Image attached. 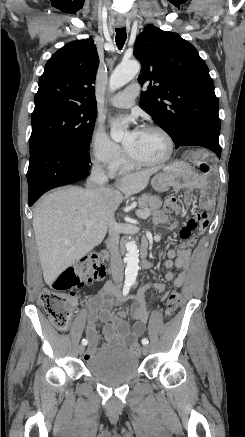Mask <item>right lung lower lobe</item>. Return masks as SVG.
<instances>
[{
  "instance_id": "1",
  "label": "right lung lower lobe",
  "mask_w": 245,
  "mask_h": 437,
  "mask_svg": "<svg viewBox=\"0 0 245 437\" xmlns=\"http://www.w3.org/2000/svg\"><path fill=\"white\" fill-rule=\"evenodd\" d=\"M89 163V150L70 151L53 143L37 147L30 153L27 172L29 205L52 188L84 179Z\"/></svg>"
}]
</instances>
